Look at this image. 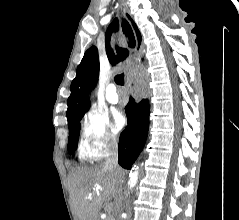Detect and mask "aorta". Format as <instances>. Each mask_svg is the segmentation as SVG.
Here are the masks:
<instances>
[{
  "label": "aorta",
  "instance_id": "762f6f07",
  "mask_svg": "<svg viewBox=\"0 0 239 220\" xmlns=\"http://www.w3.org/2000/svg\"><path fill=\"white\" fill-rule=\"evenodd\" d=\"M134 171H131L129 174V181H128V186L131 188H134L137 184L138 181V167L133 168Z\"/></svg>",
  "mask_w": 239,
  "mask_h": 220
}]
</instances>
